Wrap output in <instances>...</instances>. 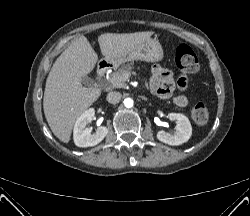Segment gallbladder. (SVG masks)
<instances>
[{
    "label": "gallbladder",
    "mask_w": 250,
    "mask_h": 216,
    "mask_svg": "<svg viewBox=\"0 0 250 216\" xmlns=\"http://www.w3.org/2000/svg\"><path fill=\"white\" fill-rule=\"evenodd\" d=\"M81 81H82L83 84H85L87 86H91V85L94 84V81L89 77L82 78Z\"/></svg>",
    "instance_id": "gallbladder-1"
}]
</instances>
